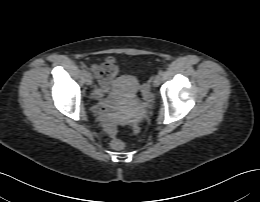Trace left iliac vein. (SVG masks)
<instances>
[{
  "label": "left iliac vein",
  "instance_id": "1",
  "mask_svg": "<svg viewBox=\"0 0 260 202\" xmlns=\"http://www.w3.org/2000/svg\"><path fill=\"white\" fill-rule=\"evenodd\" d=\"M161 83V76L160 75H156L154 78H153V85L155 87L159 86Z\"/></svg>",
  "mask_w": 260,
  "mask_h": 202
}]
</instances>
